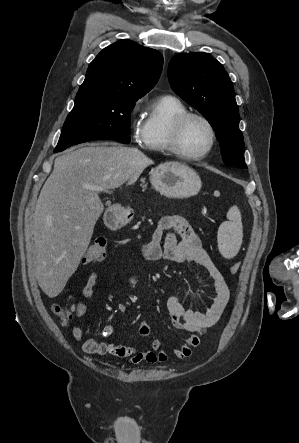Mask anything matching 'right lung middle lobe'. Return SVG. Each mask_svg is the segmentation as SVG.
Instances as JSON below:
<instances>
[{"instance_id":"1","label":"right lung middle lobe","mask_w":299,"mask_h":443,"mask_svg":"<svg viewBox=\"0 0 299 443\" xmlns=\"http://www.w3.org/2000/svg\"><path fill=\"white\" fill-rule=\"evenodd\" d=\"M137 100L102 93H77L55 151L97 139L130 142V113Z\"/></svg>"}]
</instances>
